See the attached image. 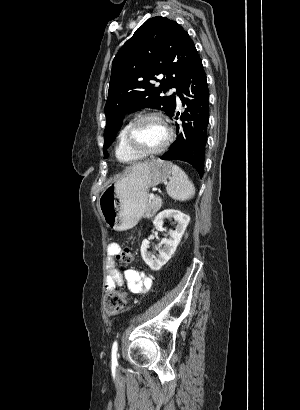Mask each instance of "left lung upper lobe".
<instances>
[{
	"label": "left lung upper lobe",
	"mask_w": 300,
	"mask_h": 410,
	"mask_svg": "<svg viewBox=\"0 0 300 410\" xmlns=\"http://www.w3.org/2000/svg\"><path fill=\"white\" fill-rule=\"evenodd\" d=\"M198 55L188 33L177 22L153 17L140 26L125 42L112 62V72L105 105L106 128L104 156L119 131L126 113L145 107L163 110L171 117L175 93ZM163 76L162 80L156 77ZM154 81L160 82L159 86Z\"/></svg>",
	"instance_id": "obj_1"
}]
</instances>
